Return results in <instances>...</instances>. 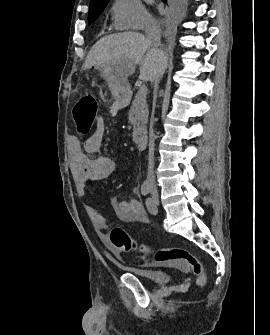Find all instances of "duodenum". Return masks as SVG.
<instances>
[{
    "label": "duodenum",
    "mask_w": 270,
    "mask_h": 335,
    "mask_svg": "<svg viewBox=\"0 0 270 335\" xmlns=\"http://www.w3.org/2000/svg\"><path fill=\"white\" fill-rule=\"evenodd\" d=\"M135 143L139 150L143 151L147 147V137L145 135H138L135 138Z\"/></svg>",
    "instance_id": "duodenum-1"
}]
</instances>
